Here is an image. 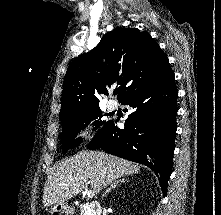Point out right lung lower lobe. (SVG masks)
Listing matches in <instances>:
<instances>
[{
	"mask_svg": "<svg viewBox=\"0 0 221 215\" xmlns=\"http://www.w3.org/2000/svg\"><path fill=\"white\" fill-rule=\"evenodd\" d=\"M177 96L174 72L169 69L121 101L132 107L123 130L108 121L88 149L101 148L150 167L158 176L165 195L175 149Z\"/></svg>",
	"mask_w": 221,
	"mask_h": 215,
	"instance_id": "1",
	"label": "right lung lower lobe"
}]
</instances>
